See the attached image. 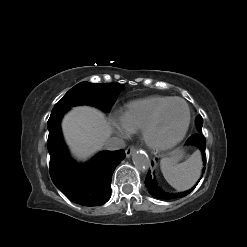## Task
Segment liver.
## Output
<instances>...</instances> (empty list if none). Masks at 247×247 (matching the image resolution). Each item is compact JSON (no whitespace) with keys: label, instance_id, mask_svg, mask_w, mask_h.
<instances>
[{"label":"liver","instance_id":"obj_1","mask_svg":"<svg viewBox=\"0 0 247 247\" xmlns=\"http://www.w3.org/2000/svg\"><path fill=\"white\" fill-rule=\"evenodd\" d=\"M62 131L72 154L85 161L103 148L112 127L100 110L77 106L64 116Z\"/></svg>","mask_w":247,"mask_h":247}]
</instances>
